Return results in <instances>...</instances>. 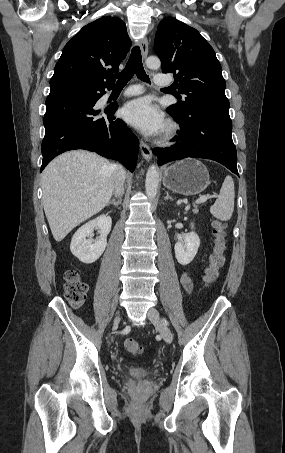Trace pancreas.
<instances>
[{"mask_svg": "<svg viewBox=\"0 0 285 453\" xmlns=\"http://www.w3.org/2000/svg\"><path fill=\"white\" fill-rule=\"evenodd\" d=\"M198 211H199V210H198L197 208L193 209V213H194V214H197Z\"/></svg>", "mask_w": 285, "mask_h": 453, "instance_id": "obj_1", "label": "pancreas"}]
</instances>
